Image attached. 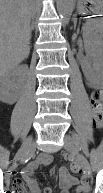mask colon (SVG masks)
Returning a JSON list of instances; mask_svg holds the SVG:
<instances>
[{"instance_id":"obj_1","label":"colon","mask_w":103,"mask_h":193,"mask_svg":"<svg viewBox=\"0 0 103 193\" xmlns=\"http://www.w3.org/2000/svg\"><path fill=\"white\" fill-rule=\"evenodd\" d=\"M90 103L92 116L95 124L101 126L103 120V90L94 89L90 95ZM70 169L74 173H80L82 171L81 165L74 161L70 165ZM17 193H25L24 189H19Z\"/></svg>"}]
</instances>
